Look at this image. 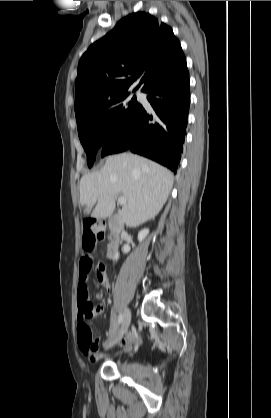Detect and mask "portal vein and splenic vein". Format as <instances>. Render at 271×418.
<instances>
[{"instance_id": "18ae733b", "label": "portal vein and splenic vein", "mask_w": 271, "mask_h": 418, "mask_svg": "<svg viewBox=\"0 0 271 418\" xmlns=\"http://www.w3.org/2000/svg\"><path fill=\"white\" fill-rule=\"evenodd\" d=\"M118 203L121 204V205H124V204L127 203V200H126L125 197L121 196V197L118 198Z\"/></svg>"}]
</instances>
